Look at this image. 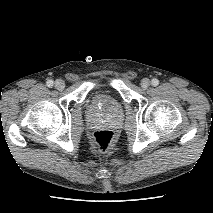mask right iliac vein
Wrapping results in <instances>:
<instances>
[{"instance_id": "63e3f726", "label": "right iliac vein", "mask_w": 213, "mask_h": 213, "mask_svg": "<svg viewBox=\"0 0 213 213\" xmlns=\"http://www.w3.org/2000/svg\"><path fill=\"white\" fill-rule=\"evenodd\" d=\"M55 88L58 90H63L65 88V82L61 79L55 81Z\"/></svg>"}]
</instances>
